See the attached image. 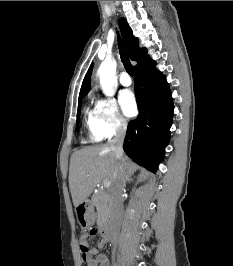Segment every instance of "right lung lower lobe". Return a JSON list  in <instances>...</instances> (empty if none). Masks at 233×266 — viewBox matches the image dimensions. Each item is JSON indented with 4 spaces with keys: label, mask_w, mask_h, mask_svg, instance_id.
Here are the masks:
<instances>
[{
    "label": "right lung lower lobe",
    "mask_w": 233,
    "mask_h": 266,
    "mask_svg": "<svg viewBox=\"0 0 233 266\" xmlns=\"http://www.w3.org/2000/svg\"><path fill=\"white\" fill-rule=\"evenodd\" d=\"M150 59L135 69L139 116L129 122L123 149L139 165L155 172L170 139L173 101L164 75Z\"/></svg>",
    "instance_id": "98d812e1"
}]
</instances>
